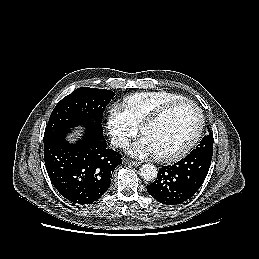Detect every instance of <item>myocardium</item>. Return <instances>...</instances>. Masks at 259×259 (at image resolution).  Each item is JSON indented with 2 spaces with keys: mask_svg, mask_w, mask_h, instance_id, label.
<instances>
[{
  "mask_svg": "<svg viewBox=\"0 0 259 259\" xmlns=\"http://www.w3.org/2000/svg\"><path fill=\"white\" fill-rule=\"evenodd\" d=\"M180 105H189L193 107L198 114V126L193 134V136L178 150L164 154V155H155V158L162 162H172L175 161L184 155H186L198 142L200 139L204 125H205V118L202 109L199 107L197 103H195L192 100L189 99H181L177 101L170 102L164 106H162L160 109L155 111L153 114H151L149 117H147L139 127L140 133L142 134L145 127L152 125L158 121H160L164 116H166L171 110L174 108L180 106Z\"/></svg>",
  "mask_w": 259,
  "mask_h": 259,
  "instance_id": "myocardium-1",
  "label": "myocardium"
}]
</instances>
